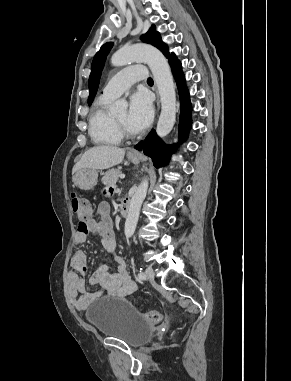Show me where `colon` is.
<instances>
[{"instance_id":"1","label":"colon","mask_w":291,"mask_h":381,"mask_svg":"<svg viewBox=\"0 0 291 381\" xmlns=\"http://www.w3.org/2000/svg\"><path fill=\"white\" fill-rule=\"evenodd\" d=\"M71 208L74 216L79 220L82 230L87 229V224L92 220L93 209L91 203L76 193L71 196ZM143 316L152 324H159L163 315L159 311L150 310L142 312Z\"/></svg>"}]
</instances>
